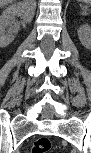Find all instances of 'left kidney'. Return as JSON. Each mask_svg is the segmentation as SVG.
<instances>
[{
  "label": "left kidney",
  "mask_w": 91,
  "mask_h": 153,
  "mask_svg": "<svg viewBox=\"0 0 91 153\" xmlns=\"http://www.w3.org/2000/svg\"><path fill=\"white\" fill-rule=\"evenodd\" d=\"M78 37L80 39L81 44L86 48H91V27L88 24L82 25L78 31Z\"/></svg>",
  "instance_id": "obj_1"
}]
</instances>
